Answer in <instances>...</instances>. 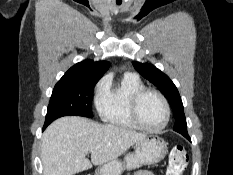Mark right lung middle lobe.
I'll return each instance as SVG.
<instances>
[{
	"mask_svg": "<svg viewBox=\"0 0 233 175\" xmlns=\"http://www.w3.org/2000/svg\"><path fill=\"white\" fill-rule=\"evenodd\" d=\"M98 79L58 82L50 98L44 129L55 119L78 115L93 117L91 110V97Z\"/></svg>",
	"mask_w": 233,
	"mask_h": 175,
	"instance_id": "obj_1",
	"label": "right lung middle lobe"
}]
</instances>
